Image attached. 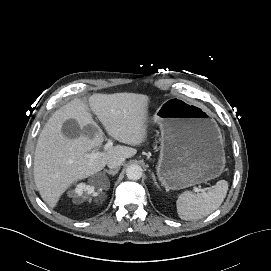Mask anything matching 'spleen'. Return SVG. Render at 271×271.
Segmentation results:
<instances>
[{
    "instance_id": "spleen-1",
    "label": "spleen",
    "mask_w": 271,
    "mask_h": 271,
    "mask_svg": "<svg viewBox=\"0 0 271 271\" xmlns=\"http://www.w3.org/2000/svg\"><path fill=\"white\" fill-rule=\"evenodd\" d=\"M228 191V182L218 181L207 193H181L176 201L178 216L183 220H198L217 210Z\"/></svg>"
}]
</instances>
